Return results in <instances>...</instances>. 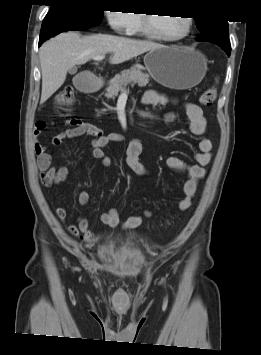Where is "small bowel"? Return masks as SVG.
<instances>
[{
    "mask_svg": "<svg viewBox=\"0 0 261 355\" xmlns=\"http://www.w3.org/2000/svg\"><path fill=\"white\" fill-rule=\"evenodd\" d=\"M143 101L146 104L162 105L173 102L168 96L155 90H148L144 95ZM184 108L189 120L190 132L197 137L195 143L197 150L193 154L194 164L184 163L175 156L166 158V163L169 167L183 171L186 174V179L182 185L181 199L178 203L179 211H184L190 207L192 199L195 196L198 182L206 173L205 166L210 163L212 157V144L209 139L203 137L207 131V121L202 109L192 102L185 103ZM176 118L177 114L174 112H169L165 115V121L167 123L173 122ZM40 122L43 123V125L37 126ZM46 126L47 124L43 121L37 122L32 133V138L37 156V165L41 173L40 180L44 186L51 188L64 182L68 177L69 170L67 167L56 168L52 166L51 152L38 141L41 132ZM69 126L68 129L58 133L52 138V146L56 147L61 145L65 139L86 135L91 140L90 152L92 157L100 160L105 168L111 165L112 160L105 154L104 148L111 143L123 141L124 137L121 134H104L102 130L95 125L77 118L71 119ZM142 150L143 145L139 138L130 140L126 148V163L135 174L146 176L149 174V170L140 161ZM78 200L81 205H87L90 201L89 192L82 190L79 193ZM55 213L58 219L64 222L68 215V209L65 206H60L56 208ZM152 217H155V215L145 210L142 213L130 216L125 221L120 222L118 211L115 208H110L100 215L99 220L102 224L113 228L134 229L142 224L144 218ZM68 231L71 235L77 236L89 244H94L98 240V235L90 230L89 220L84 216L77 217L75 222L69 225Z\"/></svg>",
    "mask_w": 261,
    "mask_h": 355,
    "instance_id": "obj_1",
    "label": "small bowel"
}]
</instances>
